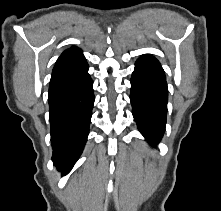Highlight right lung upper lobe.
<instances>
[{"instance_id": "right-lung-upper-lobe-1", "label": "right lung upper lobe", "mask_w": 221, "mask_h": 211, "mask_svg": "<svg viewBox=\"0 0 221 211\" xmlns=\"http://www.w3.org/2000/svg\"><path fill=\"white\" fill-rule=\"evenodd\" d=\"M85 64H87V62L82 50L73 46L70 49L65 50L58 58L53 68L52 76L71 72Z\"/></svg>"}]
</instances>
